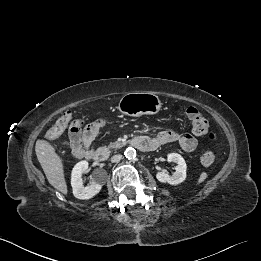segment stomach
I'll list each match as a JSON object with an SVG mask.
<instances>
[{
    "label": "stomach",
    "mask_w": 261,
    "mask_h": 261,
    "mask_svg": "<svg viewBox=\"0 0 261 261\" xmlns=\"http://www.w3.org/2000/svg\"><path fill=\"white\" fill-rule=\"evenodd\" d=\"M162 103L152 93L132 92L125 94L119 101L118 110L128 116L153 115L160 111Z\"/></svg>",
    "instance_id": "0dacf381"
}]
</instances>
